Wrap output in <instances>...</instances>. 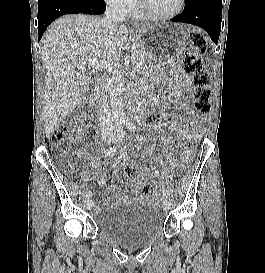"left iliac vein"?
Masks as SVG:
<instances>
[{
  "mask_svg": "<svg viewBox=\"0 0 265 273\" xmlns=\"http://www.w3.org/2000/svg\"><path fill=\"white\" fill-rule=\"evenodd\" d=\"M162 207H163L164 211H168L170 209V201H169L168 197H163Z\"/></svg>",
  "mask_w": 265,
  "mask_h": 273,
  "instance_id": "4c4485c4",
  "label": "left iliac vein"
}]
</instances>
